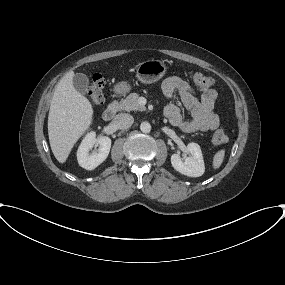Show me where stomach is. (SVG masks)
Masks as SVG:
<instances>
[{
  "instance_id": "stomach-1",
  "label": "stomach",
  "mask_w": 285,
  "mask_h": 285,
  "mask_svg": "<svg viewBox=\"0 0 285 285\" xmlns=\"http://www.w3.org/2000/svg\"><path fill=\"white\" fill-rule=\"evenodd\" d=\"M167 67L162 60H146L137 65L136 77L144 84H151L160 80L166 73ZM131 85L128 82H120L115 85L114 91L116 94H125L131 90Z\"/></svg>"
}]
</instances>
